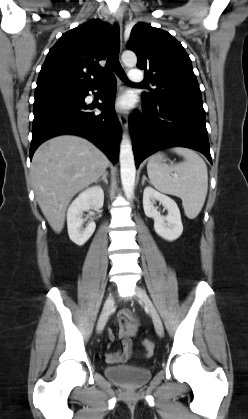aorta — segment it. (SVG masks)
<instances>
[{"instance_id": "obj_1", "label": "aorta", "mask_w": 248, "mask_h": 419, "mask_svg": "<svg viewBox=\"0 0 248 419\" xmlns=\"http://www.w3.org/2000/svg\"><path fill=\"white\" fill-rule=\"evenodd\" d=\"M122 62L127 67H133L137 63V57L134 52L125 51L122 54ZM120 175L125 196L130 199L133 196L136 167L132 145L128 136L123 135L120 143Z\"/></svg>"}]
</instances>
